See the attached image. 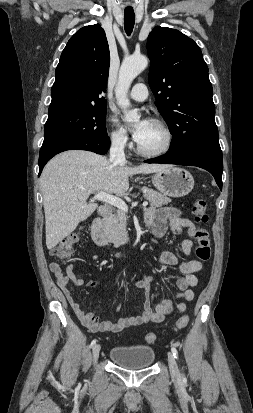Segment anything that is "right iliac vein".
I'll list each match as a JSON object with an SVG mask.
<instances>
[{"label": "right iliac vein", "mask_w": 253, "mask_h": 413, "mask_svg": "<svg viewBox=\"0 0 253 413\" xmlns=\"http://www.w3.org/2000/svg\"><path fill=\"white\" fill-rule=\"evenodd\" d=\"M100 349H101V347L98 344L93 347L92 356H93L94 362H96L98 360Z\"/></svg>", "instance_id": "obj_1"}]
</instances>
